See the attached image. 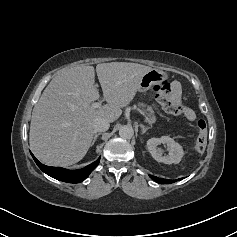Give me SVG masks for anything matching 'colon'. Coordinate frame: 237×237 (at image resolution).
<instances>
[{
	"label": "colon",
	"mask_w": 237,
	"mask_h": 237,
	"mask_svg": "<svg viewBox=\"0 0 237 237\" xmlns=\"http://www.w3.org/2000/svg\"><path fill=\"white\" fill-rule=\"evenodd\" d=\"M155 91L158 95L164 110L171 115H180L184 112V105L172 96L171 86L163 81L155 86ZM198 136L194 145V149L197 152H203L207 145V124L204 120L197 122Z\"/></svg>",
	"instance_id": "colon-1"
}]
</instances>
